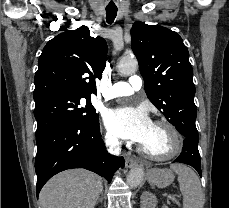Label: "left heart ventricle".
Returning <instances> with one entry per match:
<instances>
[{
	"instance_id": "left-heart-ventricle-1",
	"label": "left heart ventricle",
	"mask_w": 229,
	"mask_h": 208,
	"mask_svg": "<svg viewBox=\"0 0 229 208\" xmlns=\"http://www.w3.org/2000/svg\"><path fill=\"white\" fill-rule=\"evenodd\" d=\"M167 130L170 129L153 124L147 137L141 142L149 152L154 153L155 157L168 155L177 149V147H170V143L168 142L169 135L166 134Z\"/></svg>"
}]
</instances>
